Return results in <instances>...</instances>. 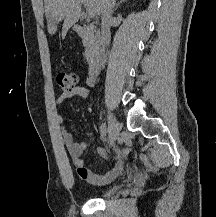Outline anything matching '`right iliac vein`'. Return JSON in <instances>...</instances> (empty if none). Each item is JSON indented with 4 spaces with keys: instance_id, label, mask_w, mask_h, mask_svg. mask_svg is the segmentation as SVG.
<instances>
[{
    "instance_id": "1",
    "label": "right iliac vein",
    "mask_w": 216,
    "mask_h": 217,
    "mask_svg": "<svg viewBox=\"0 0 216 217\" xmlns=\"http://www.w3.org/2000/svg\"><path fill=\"white\" fill-rule=\"evenodd\" d=\"M108 128L110 145H112L119 137L121 131V124L112 114L108 115Z\"/></svg>"
}]
</instances>
